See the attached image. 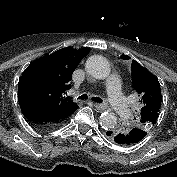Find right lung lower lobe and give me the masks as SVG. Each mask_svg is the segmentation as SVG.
<instances>
[{
	"label": "right lung lower lobe",
	"instance_id": "1",
	"mask_svg": "<svg viewBox=\"0 0 177 177\" xmlns=\"http://www.w3.org/2000/svg\"><path fill=\"white\" fill-rule=\"evenodd\" d=\"M78 108V107H77ZM23 114L27 118L29 124H31L34 128L39 130H51L57 128L64 124L68 117L72 113L67 116H62L61 114H50L47 111L43 110H35L32 108H21Z\"/></svg>",
	"mask_w": 177,
	"mask_h": 177
}]
</instances>
